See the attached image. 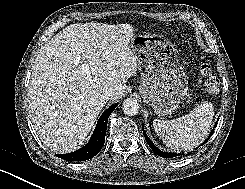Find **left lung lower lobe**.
Returning <instances> with one entry per match:
<instances>
[{
	"instance_id": "left-lung-lower-lobe-1",
	"label": "left lung lower lobe",
	"mask_w": 245,
	"mask_h": 189,
	"mask_svg": "<svg viewBox=\"0 0 245 189\" xmlns=\"http://www.w3.org/2000/svg\"><path fill=\"white\" fill-rule=\"evenodd\" d=\"M217 126V124H215L214 128ZM214 132V129L211 131V134L209 137H211V135L213 134ZM143 134L145 136V139H146V142L148 143V145L150 146V148L154 151V153H156L157 155L161 156V157H169V158H172V157H176V156H180V155H183L182 154H176V153H167V152H163L161 150H159L153 143L152 141L148 138V136L146 135L144 129H143ZM209 138L206 139V142L208 141ZM205 144V142L202 143V145Z\"/></svg>"
}]
</instances>
